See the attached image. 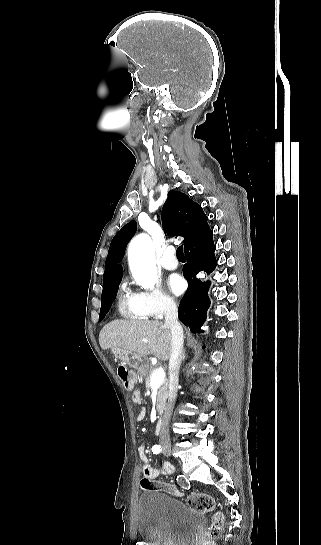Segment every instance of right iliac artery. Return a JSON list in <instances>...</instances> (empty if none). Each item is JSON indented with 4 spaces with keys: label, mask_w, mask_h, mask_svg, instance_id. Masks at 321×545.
<instances>
[{
    "label": "right iliac artery",
    "mask_w": 321,
    "mask_h": 545,
    "mask_svg": "<svg viewBox=\"0 0 321 545\" xmlns=\"http://www.w3.org/2000/svg\"><path fill=\"white\" fill-rule=\"evenodd\" d=\"M160 451H161V446L155 445V446L152 447V452L154 454H158Z\"/></svg>",
    "instance_id": "1"
}]
</instances>
